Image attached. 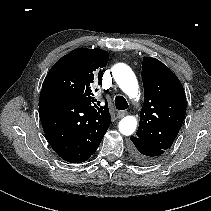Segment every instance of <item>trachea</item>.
I'll list each match as a JSON object with an SVG mask.
<instances>
[{
    "label": "trachea",
    "instance_id": "trachea-1",
    "mask_svg": "<svg viewBox=\"0 0 211 211\" xmlns=\"http://www.w3.org/2000/svg\"><path fill=\"white\" fill-rule=\"evenodd\" d=\"M115 106L118 110H125L128 108V103L123 96H116Z\"/></svg>",
    "mask_w": 211,
    "mask_h": 211
}]
</instances>
